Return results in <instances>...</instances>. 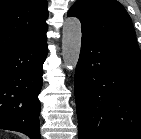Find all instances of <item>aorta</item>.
<instances>
[{"label": "aorta", "instance_id": "762f6f07", "mask_svg": "<svg viewBox=\"0 0 141 139\" xmlns=\"http://www.w3.org/2000/svg\"><path fill=\"white\" fill-rule=\"evenodd\" d=\"M81 22L76 17H69L63 25L62 57L64 67L72 71L75 69L81 50Z\"/></svg>", "mask_w": 141, "mask_h": 139}]
</instances>
